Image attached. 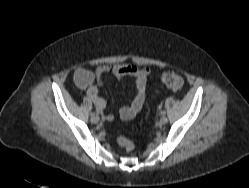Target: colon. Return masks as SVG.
I'll list each match as a JSON object with an SVG mask.
<instances>
[{"mask_svg":"<svg viewBox=\"0 0 249 188\" xmlns=\"http://www.w3.org/2000/svg\"><path fill=\"white\" fill-rule=\"evenodd\" d=\"M161 80L163 84L172 90H179L183 86L182 77L174 71L164 72L162 74ZM116 142L127 151H132L134 149V144L125 137H117Z\"/></svg>","mask_w":249,"mask_h":188,"instance_id":"obj_1","label":"colon"}]
</instances>
